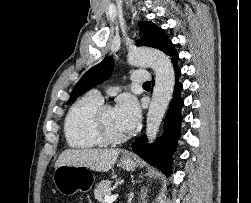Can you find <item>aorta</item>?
Masks as SVG:
<instances>
[{"instance_id": "obj_1", "label": "aorta", "mask_w": 251, "mask_h": 203, "mask_svg": "<svg viewBox=\"0 0 251 203\" xmlns=\"http://www.w3.org/2000/svg\"><path fill=\"white\" fill-rule=\"evenodd\" d=\"M128 62L133 66H150L155 72V86L146 120V134L151 143L157 136L173 94L174 68L170 58L165 53L152 48L131 50L128 54Z\"/></svg>"}]
</instances>
